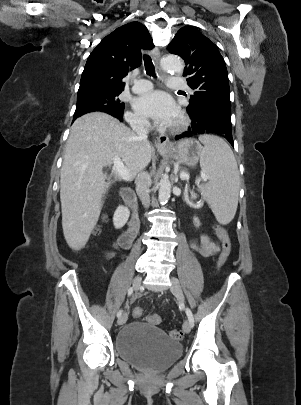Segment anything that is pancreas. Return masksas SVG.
<instances>
[{
    "label": "pancreas",
    "mask_w": 301,
    "mask_h": 405,
    "mask_svg": "<svg viewBox=\"0 0 301 405\" xmlns=\"http://www.w3.org/2000/svg\"><path fill=\"white\" fill-rule=\"evenodd\" d=\"M184 201L188 204V205H190V206H192V202L189 200V198H187L186 196H184Z\"/></svg>",
    "instance_id": "cf45deb5"
}]
</instances>
